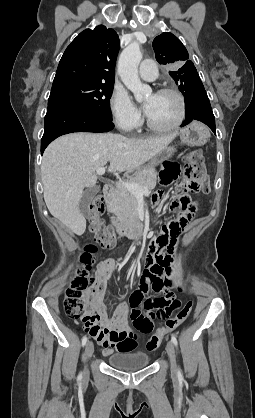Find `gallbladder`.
I'll list each match as a JSON object with an SVG mask.
<instances>
[{
    "label": "gallbladder",
    "mask_w": 255,
    "mask_h": 418,
    "mask_svg": "<svg viewBox=\"0 0 255 418\" xmlns=\"http://www.w3.org/2000/svg\"><path fill=\"white\" fill-rule=\"evenodd\" d=\"M100 191V186H93L91 188L86 189L83 192L82 198L79 202V210L83 216H88L89 214V205L96 196V194Z\"/></svg>",
    "instance_id": "1"
}]
</instances>
